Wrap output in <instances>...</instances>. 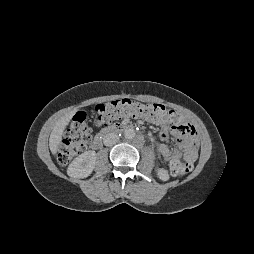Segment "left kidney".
<instances>
[{
    "mask_svg": "<svg viewBox=\"0 0 254 254\" xmlns=\"http://www.w3.org/2000/svg\"><path fill=\"white\" fill-rule=\"evenodd\" d=\"M157 175H158V177H159L162 181H167V180H169L168 171L165 170V169H163V168L158 169Z\"/></svg>",
    "mask_w": 254,
    "mask_h": 254,
    "instance_id": "obj_1",
    "label": "left kidney"
}]
</instances>
